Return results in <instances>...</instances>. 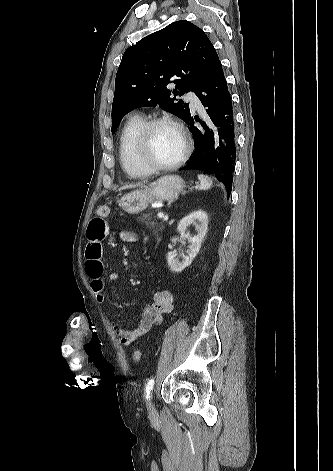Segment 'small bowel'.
Masks as SVG:
<instances>
[{
	"mask_svg": "<svg viewBox=\"0 0 333 471\" xmlns=\"http://www.w3.org/2000/svg\"><path fill=\"white\" fill-rule=\"evenodd\" d=\"M106 217L99 215L93 217L87 228V247L85 250V268L87 275L91 279V289L94 293L95 300L103 303L106 300L104 289V266L102 262V241L109 234V226L105 220ZM124 240L128 242L135 241V235L131 232L122 234ZM107 280L116 282L120 279L118 272L112 271L107 275ZM175 300L170 291L162 290L155 292L144 305L142 317L139 324L133 328H125L119 325L113 327L114 333L120 338V342L124 346L137 341L151 329L160 325L164 315L174 310Z\"/></svg>",
	"mask_w": 333,
	"mask_h": 471,
	"instance_id": "1",
	"label": "small bowel"
}]
</instances>
